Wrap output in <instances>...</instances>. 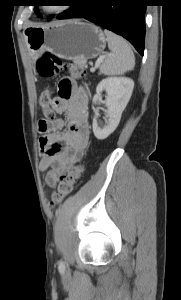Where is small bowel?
<instances>
[{
  "label": "small bowel",
  "instance_id": "c3829d8e",
  "mask_svg": "<svg viewBox=\"0 0 181 300\" xmlns=\"http://www.w3.org/2000/svg\"><path fill=\"white\" fill-rule=\"evenodd\" d=\"M58 96L53 99L54 112L63 118L48 121L40 137L39 167L46 171V182L53 187L59 175L81 160L89 143L88 97L83 88L69 78L58 85ZM67 131H63L65 126Z\"/></svg>",
  "mask_w": 181,
  "mask_h": 300
}]
</instances>
